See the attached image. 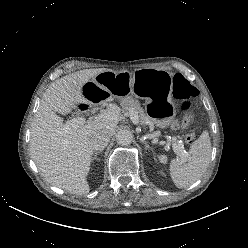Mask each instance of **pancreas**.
<instances>
[{
    "label": "pancreas",
    "instance_id": "pancreas-1",
    "mask_svg": "<svg viewBox=\"0 0 248 248\" xmlns=\"http://www.w3.org/2000/svg\"><path fill=\"white\" fill-rule=\"evenodd\" d=\"M121 105L125 111L130 112L133 109L137 112V114H139V120L142 124L148 121V117L144 114V110L142 109L140 103L133 97H126Z\"/></svg>",
    "mask_w": 248,
    "mask_h": 248
}]
</instances>
